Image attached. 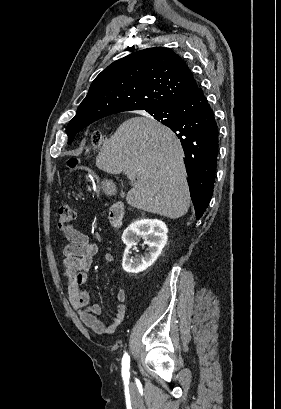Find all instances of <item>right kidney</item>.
<instances>
[{
    "mask_svg": "<svg viewBox=\"0 0 281 409\" xmlns=\"http://www.w3.org/2000/svg\"><path fill=\"white\" fill-rule=\"evenodd\" d=\"M168 229L159 219H138L123 231L122 241L126 245L122 259V267L126 273H142L153 265L167 243ZM143 239L148 245V253L144 257H131L130 249Z\"/></svg>",
    "mask_w": 281,
    "mask_h": 409,
    "instance_id": "1",
    "label": "right kidney"
}]
</instances>
